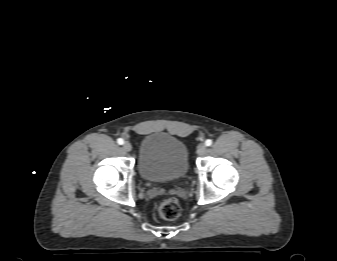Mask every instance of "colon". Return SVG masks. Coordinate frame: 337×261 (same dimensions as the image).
<instances>
[{
    "label": "colon",
    "instance_id": "5ec220e1",
    "mask_svg": "<svg viewBox=\"0 0 337 261\" xmlns=\"http://www.w3.org/2000/svg\"><path fill=\"white\" fill-rule=\"evenodd\" d=\"M159 217L165 220H174L180 215V205L174 199H163L155 206Z\"/></svg>",
    "mask_w": 337,
    "mask_h": 261
}]
</instances>
